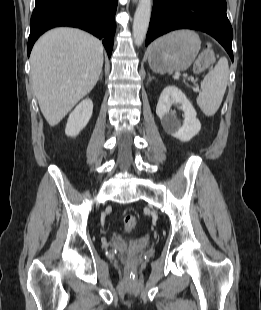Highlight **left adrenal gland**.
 Returning <instances> with one entry per match:
<instances>
[{
	"label": "left adrenal gland",
	"instance_id": "1",
	"mask_svg": "<svg viewBox=\"0 0 261 310\" xmlns=\"http://www.w3.org/2000/svg\"><path fill=\"white\" fill-rule=\"evenodd\" d=\"M149 77V81H151L152 79H155L154 77H152L150 74H148Z\"/></svg>",
	"mask_w": 261,
	"mask_h": 310
}]
</instances>
